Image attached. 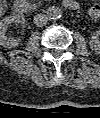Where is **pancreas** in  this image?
Listing matches in <instances>:
<instances>
[{"label":"pancreas","mask_w":100,"mask_h":118,"mask_svg":"<svg viewBox=\"0 0 100 118\" xmlns=\"http://www.w3.org/2000/svg\"><path fill=\"white\" fill-rule=\"evenodd\" d=\"M44 1H46V0H44ZM40 5H41V2L39 1L38 3H36L35 7H38Z\"/></svg>","instance_id":"pancreas-1"}]
</instances>
